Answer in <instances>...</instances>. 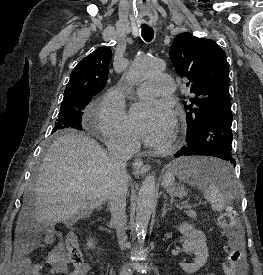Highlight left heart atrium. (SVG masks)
Masks as SVG:
<instances>
[{
	"mask_svg": "<svg viewBox=\"0 0 263 275\" xmlns=\"http://www.w3.org/2000/svg\"><path fill=\"white\" fill-rule=\"evenodd\" d=\"M130 125L144 143L160 146L172 136L175 117L170 105L165 101L141 102L131 109Z\"/></svg>",
	"mask_w": 263,
	"mask_h": 275,
	"instance_id": "1",
	"label": "left heart atrium"
}]
</instances>
